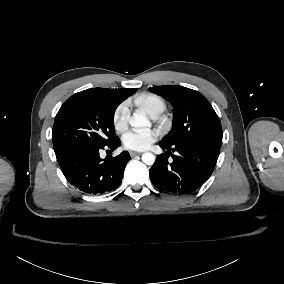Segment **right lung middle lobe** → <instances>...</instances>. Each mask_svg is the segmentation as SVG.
I'll use <instances>...</instances> for the list:
<instances>
[{"label":"right lung middle lobe","mask_w":284,"mask_h":284,"mask_svg":"<svg viewBox=\"0 0 284 284\" xmlns=\"http://www.w3.org/2000/svg\"><path fill=\"white\" fill-rule=\"evenodd\" d=\"M116 107L88 89L68 98L54 121L52 140L55 154L78 146H104L115 140L113 120Z\"/></svg>","instance_id":"dd1d6c3e"}]
</instances>
